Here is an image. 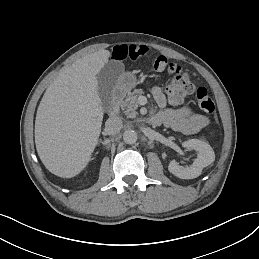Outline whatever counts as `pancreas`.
Wrapping results in <instances>:
<instances>
[{"mask_svg": "<svg viewBox=\"0 0 259 259\" xmlns=\"http://www.w3.org/2000/svg\"><path fill=\"white\" fill-rule=\"evenodd\" d=\"M143 89H136L132 93L128 95V97L124 100V102L121 104V108L124 111L125 114H127L129 117H136L137 116V108H138V96L143 94Z\"/></svg>", "mask_w": 259, "mask_h": 259, "instance_id": "1", "label": "pancreas"}]
</instances>
